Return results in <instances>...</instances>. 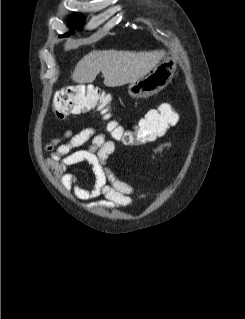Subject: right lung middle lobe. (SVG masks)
<instances>
[{"label":"right lung middle lobe","mask_w":245,"mask_h":319,"mask_svg":"<svg viewBox=\"0 0 245 319\" xmlns=\"http://www.w3.org/2000/svg\"><path fill=\"white\" fill-rule=\"evenodd\" d=\"M83 22H84V19L82 15L79 13H76V14H73L72 17L70 18L69 25L73 29H80L82 27ZM69 35L70 33H67L65 36H69Z\"/></svg>","instance_id":"right-lung-middle-lobe-1"}]
</instances>
